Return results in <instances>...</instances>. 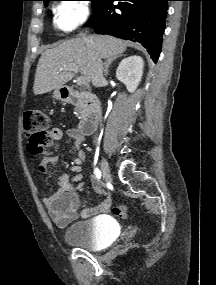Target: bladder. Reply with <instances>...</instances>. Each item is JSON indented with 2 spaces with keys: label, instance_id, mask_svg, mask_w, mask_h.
Returning a JSON list of instances; mask_svg holds the SVG:
<instances>
[{
  "label": "bladder",
  "instance_id": "31cf9c89",
  "mask_svg": "<svg viewBox=\"0 0 216 285\" xmlns=\"http://www.w3.org/2000/svg\"><path fill=\"white\" fill-rule=\"evenodd\" d=\"M117 236L118 228L108 216L76 221L64 232L67 244L90 251L107 248Z\"/></svg>",
  "mask_w": 216,
  "mask_h": 285
}]
</instances>
